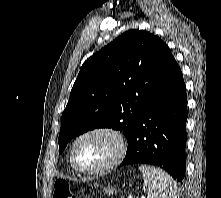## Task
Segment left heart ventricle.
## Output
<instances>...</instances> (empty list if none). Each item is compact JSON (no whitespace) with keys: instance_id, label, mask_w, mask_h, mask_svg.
<instances>
[{"instance_id":"obj_1","label":"left heart ventricle","mask_w":221,"mask_h":198,"mask_svg":"<svg viewBox=\"0 0 221 198\" xmlns=\"http://www.w3.org/2000/svg\"><path fill=\"white\" fill-rule=\"evenodd\" d=\"M115 149V142L110 137L106 135L89 136L77 144L75 161L82 168H98L112 157Z\"/></svg>"}]
</instances>
